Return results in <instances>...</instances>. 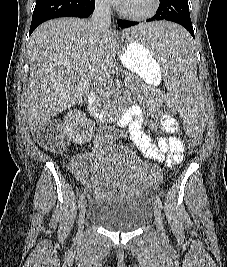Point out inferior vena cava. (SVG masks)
<instances>
[{
  "label": "inferior vena cava",
  "mask_w": 227,
  "mask_h": 267,
  "mask_svg": "<svg viewBox=\"0 0 227 267\" xmlns=\"http://www.w3.org/2000/svg\"><path fill=\"white\" fill-rule=\"evenodd\" d=\"M111 25V8L107 0H96L95 10L91 17L90 28L96 33H103ZM95 84L102 86V78L99 77Z\"/></svg>",
  "instance_id": "1"
}]
</instances>
